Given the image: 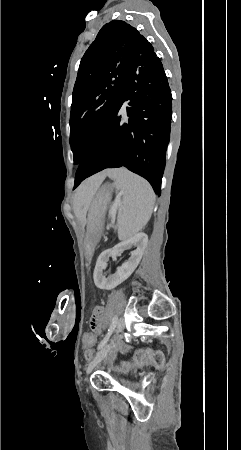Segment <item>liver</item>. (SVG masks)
Segmentation results:
<instances>
[{
    "label": "liver",
    "mask_w": 241,
    "mask_h": 450,
    "mask_svg": "<svg viewBox=\"0 0 241 450\" xmlns=\"http://www.w3.org/2000/svg\"><path fill=\"white\" fill-rule=\"evenodd\" d=\"M108 174L109 170H104V172H99V174H95V176H91V178L82 182L79 188L75 190L73 196L74 204H86V206H89L94 194H96L99 186H101Z\"/></svg>",
    "instance_id": "liver-1"
}]
</instances>
